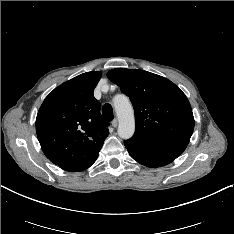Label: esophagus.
<instances>
[{
  "label": "esophagus",
  "instance_id": "obj_1",
  "mask_svg": "<svg viewBox=\"0 0 234 234\" xmlns=\"http://www.w3.org/2000/svg\"><path fill=\"white\" fill-rule=\"evenodd\" d=\"M111 125H112L113 127H117V125H118V120H117V119H114V120L111 122Z\"/></svg>",
  "mask_w": 234,
  "mask_h": 234
}]
</instances>
